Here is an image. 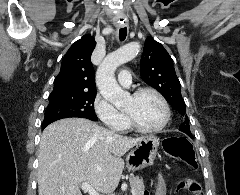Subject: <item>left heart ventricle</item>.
Returning a JSON list of instances; mask_svg holds the SVG:
<instances>
[{
    "label": "left heart ventricle",
    "instance_id": "b2bd125f",
    "mask_svg": "<svg viewBox=\"0 0 240 195\" xmlns=\"http://www.w3.org/2000/svg\"><path fill=\"white\" fill-rule=\"evenodd\" d=\"M123 111L130 112L136 122L143 127L157 126L163 117V109L159 99L145 93L138 98H128Z\"/></svg>",
    "mask_w": 240,
    "mask_h": 195
}]
</instances>
